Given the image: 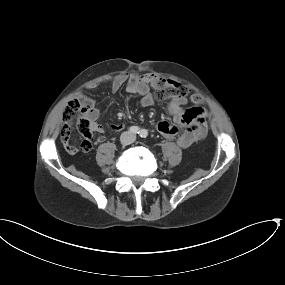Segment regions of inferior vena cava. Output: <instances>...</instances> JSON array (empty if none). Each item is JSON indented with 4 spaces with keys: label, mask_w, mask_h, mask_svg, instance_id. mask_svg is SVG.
<instances>
[{
    "label": "inferior vena cava",
    "mask_w": 285,
    "mask_h": 285,
    "mask_svg": "<svg viewBox=\"0 0 285 285\" xmlns=\"http://www.w3.org/2000/svg\"><path fill=\"white\" fill-rule=\"evenodd\" d=\"M122 141L124 144H131L135 141L136 139V136L134 134H131L129 132H125L123 135H122Z\"/></svg>",
    "instance_id": "1"
}]
</instances>
